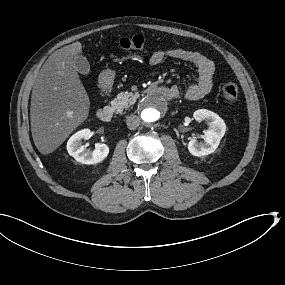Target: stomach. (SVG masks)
<instances>
[{
	"instance_id": "stomach-1",
	"label": "stomach",
	"mask_w": 285,
	"mask_h": 285,
	"mask_svg": "<svg viewBox=\"0 0 285 285\" xmlns=\"http://www.w3.org/2000/svg\"><path fill=\"white\" fill-rule=\"evenodd\" d=\"M104 78L102 79L103 83L106 84L108 81H113L115 74L112 72L111 74H109V76H107V73H104ZM99 79H101V77H99Z\"/></svg>"
}]
</instances>
